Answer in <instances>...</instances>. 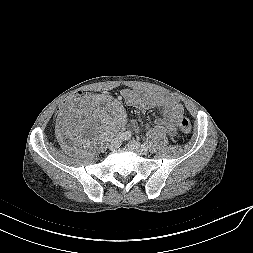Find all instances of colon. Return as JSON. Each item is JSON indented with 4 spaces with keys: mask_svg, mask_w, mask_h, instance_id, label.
<instances>
[{
    "mask_svg": "<svg viewBox=\"0 0 253 253\" xmlns=\"http://www.w3.org/2000/svg\"><path fill=\"white\" fill-rule=\"evenodd\" d=\"M95 95H96L95 89L78 90L77 92L72 93L63 101L60 102V104L58 105V112L64 113L65 110L68 109L74 101H77L80 98L93 97ZM179 128L185 134L190 133L192 130L191 123L187 118L180 119Z\"/></svg>",
    "mask_w": 253,
    "mask_h": 253,
    "instance_id": "5ec220e1",
    "label": "colon"
}]
</instances>
